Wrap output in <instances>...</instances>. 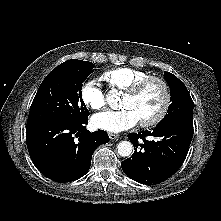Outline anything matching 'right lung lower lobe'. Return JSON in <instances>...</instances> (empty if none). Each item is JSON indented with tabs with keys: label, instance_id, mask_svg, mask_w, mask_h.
<instances>
[{
	"label": "right lung lower lobe",
	"instance_id": "98d812e1",
	"mask_svg": "<svg viewBox=\"0 0 221 221\" xmlns=\"http://www.w3.org/2000/svg\"><path fill=\"white\" fill-rule=\"evenodd\" d=\"M87 123L86 118L76 122L47 120L27 124V148L36 168L56 182L83 177L90 168L94 150L109 142L105 131H87Z\"/></svg>",
	"mask_w": 221,
	"mask_h": 221
}]
</instances>
